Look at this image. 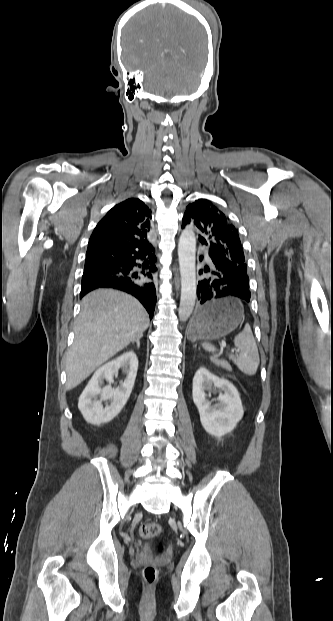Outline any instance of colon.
Returning <instances> with one entry per match:
<instances>
[{
    "instance_id": "obj_1",
    "label": "colon",
    "mask_w": 333,
    "mask_h": 621,
    "mask_svg": "<svg viewBox=\"0 0 333 621\" xmlns=\"http://www.w3.org/2000/svg\"><path fill=\"white\" fill-rule=\"evenodd\" d=\"M140 535L144 538L156 537L161 534L162 527L157 523H145L140 527ZM161 550V545L159 546ZM157 569L153 566H147L143 570V579L148 587L152 586L157 579Z\"/></svg>"
}]
</instances>
